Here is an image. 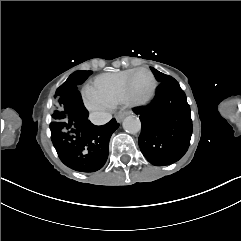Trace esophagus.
<instances>
[{
	"instance_id": "esophagus-1",
	"label": "esophagus",
	"mask_w": 241,
	"mask_h": 241,
	"mask_svg": "<svg viewBox=\"0 0 241 241\" xmlns=\"http://www.w3.org/2000/svg\"><path fill=\"white\" fill-rule=\"evenodd\" d=\"M132 112L131 111H125L120 113L119 115L116 116V119L118 122H121L123 120L124 117L130 115Z\"/></svg>"
}]
</instances>
